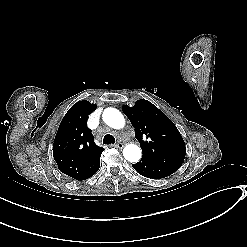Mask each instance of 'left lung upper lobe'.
I'll use <instances>...</instances> for the list:
<instances>
[{"label": "left lung upper lobe", "instance_id": "5c2ea615", "mask_svg": "<svg viewBox=\"0 0 247 247\" xmlns=\"http://www.w3.org/2000/svg\"><path fill=\"white\" fill-rule=\"evenodd\" d=\"M122 110L135 128V137L143 152L142 158L179 169L186 148L175 124L160 109L144 99L136 101L133 107L124 105Z\"/></svg>", "mask_w": 247, "mask_h": 247}]
</instances>
